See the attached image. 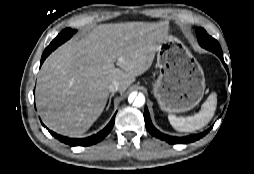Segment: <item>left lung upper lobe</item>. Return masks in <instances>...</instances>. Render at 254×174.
Listing matches in <instances>:
<instances>
[{"instance_id": "5c2ea615", "label": "left lung upper lobe", "mask_w": 254, "mask_h": 174, "mask_svg": "<svg viewBox=\"0 0 254 174\" xmlns=\"http://www.w3.org/2000/svg\"><path fill=\"white\" fill-rule=\"evenodd\" d=\"M196 33L198 42L203 48L210 50L215 54L222 53L219 43L214 38L209 36L203 28H197Z\"/></svg>"}]
</instances>
